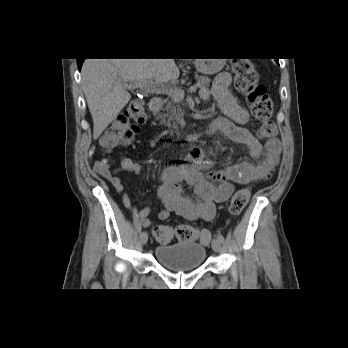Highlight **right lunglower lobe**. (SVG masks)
<instances>
[{"mask_svg":"<svg viewBox=\"0 0 348 348\" xmlns=\"http://www.w3.org/2000/svg\"><path fill=\"white\" fill-rule=\"evenodd\" d=\"M83 61H84V59L77 60V65H78L79 70H81V66H82Z\"/></svg>","mask_w":348,"mask_h":348,"instance_id":"right-lung-lower-lobe-1","label":"right lung lower lobe"}]
</instances>
